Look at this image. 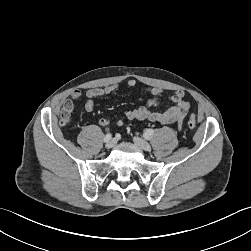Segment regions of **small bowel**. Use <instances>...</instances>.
<instances>
[{"mask_svg":"<svg viewBox=\"0 0 251 251\" xmlns=\"http://www.w3.org/2000/svg\"><path fill=\"white\" fill-rule=\"evenodd\" d=\"M137 85V81L130 79L127 81L129 88H134ZM118 89V85L113 84L103 88H93L85 93L84 108L87 112H92L95 108V99L103 96L110 95ZM145 90L151 95V98L142 106L126 111L124 113L125 118L129 120H147L149 122H157L160 124H171L177 123L178 127L181 128L182 122L190 110V102L185 99V94L181 90L174 91L169 95V100L173 103L172 106L168 107L163 112L154 111L153 108L160 106V100L164 95V91L157 87L146 86ZM82 93L80 90H74L70 99L64 102L63 107H70L73 109L72 100H80ZM111 120L107 117H101L98 123L101 126L109 125ZM117 125H122L123 120L118 119Z\"/></svg>","mask_w":251,"mask_h":251,"instance_id":"1","label":"small bowel"}]
</instances>
